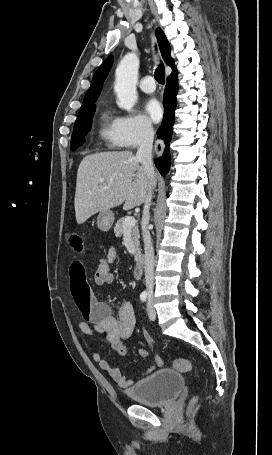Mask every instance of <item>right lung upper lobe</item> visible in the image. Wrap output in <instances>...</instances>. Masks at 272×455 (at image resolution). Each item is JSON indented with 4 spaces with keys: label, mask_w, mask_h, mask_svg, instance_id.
<instances>
[{
    "label": "right lung upper lobe",
    "mask_w": 272,
    "mask_h": 455,
    "mask_svg": "<svg viewBox=\"0 0 272 455\" xmlns=\"http://www.w3.org/2000/svg\"><path fill=\"white\" fill-rule=\"evenodd\" d=\"M156 36H157V40L159 43L162 57H163L165 63L167 65L171 66V68H172L171 75L177 74L176 67H175L173 59L171 58V55H170L171 50H170L169 42H168L164 32L160 28H158L156 30ZM112 63H113V56H109L101 64V66L98 68V70L95 72L91 86L85 95L82 106L95 102L97 100V98L102 90L104 80L106 79V77L110 71Z\"/></svg>",
    "instance_id": "right-lung-upper-lobe-1"
}]
</instances>
